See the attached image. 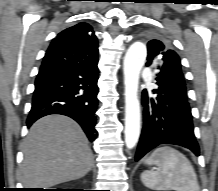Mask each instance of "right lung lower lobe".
Returning a JSON list of instances; mask_svg holds the SVG:
<instances>
[{
  "label": "right lung lower lobe",
  "instance_id": "obj_1",
  "mask_svg": "<svg viewBox=\"0 0 218 191\" xmlns=\"http://www.w3.org/2000/svg\"><path fill=\"white\" fill-rule=\"evenodd\" d=\"M98 43L78 44L55 38L43 59L27 126L49 114L77 121L91 142L96 138Z\"/></svg>",
  "mask_w": 218,
  "mask_h": 191
}]
</instances>
